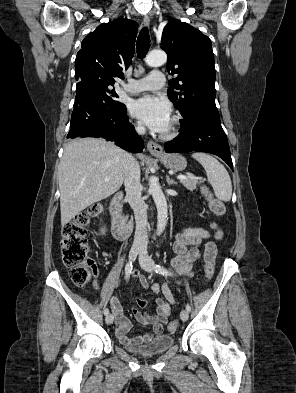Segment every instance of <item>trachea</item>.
<instances>
[{"label": "trachea", "instance_id": "1", "mask_svg": "<svg viewBox=\"0 0 296 393\" xmlns=\"http://www.w3.org/2000/svg\"><path fill=\"white\" fill-rule=\"evenodd\" d=\"M150 47V36L148 33V29L144 27L138 36L137 39V55L140 59H143Z\"/></svg>", "mask_w": 296, "mask_h": 393}]
</instances>
